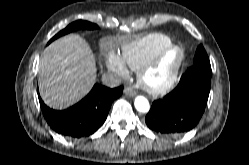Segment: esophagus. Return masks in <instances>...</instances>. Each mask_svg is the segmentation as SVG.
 <instances>
[{
	"label": "esophagus",
	"mask_w": 249,
	"mask_h": 165,
	"mask_svg": "<svg viewBox=\"0 0 249 165\" xmlns=\"http://www.w3.org/2000/svg\"><path fill=\"white\" fill-rule=\"evenodd\" d=\"M124 93L128 96H135L136 92L132 87H125Z\"/></svg>",
	"instance_id": "esophagus-1"
}]
</instances>
